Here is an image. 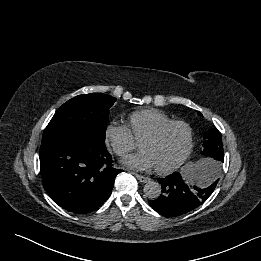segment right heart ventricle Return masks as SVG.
Returning <instances> with one entry per match:
<instances>
[{"instance_id": "right-heart-ventricle-1", "label": "right heart ventricle", "mask_w": 261, "mask_h": 261, "mask_svg": "<svg viewBox=\"0 0 261 261\" xmlns=\"http://www.w3.org/2000/svg\"><path fill=\"white\" fill-rule=\"evenodd\" d=\"M171 120V117L163 111L145 108L130 113L127 117V124L134 138L142 140L158 127Z\"/></svg>"}]
</instances>
